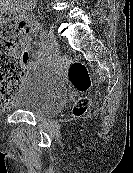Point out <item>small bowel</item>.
I'll use <instances>...</instances> for the list:
<instances>
[{"label":"small bowel","mask_w":133,"mask_h":173,"mask_svg":"<svg viewBox=\"0 0 133 173\" xmlns=\"http://www.w3.org/2000/svg\"><path fill=\"white\" fill-rule=\"evenodd\" d=\"M28 22L30 23V31H29V33H30L31 36H34L38 32L40 26L34 20H29ZM23 42H24V48L26 50V49H28L29 45L31 44L32 39H31L30 36H27V37L24 38ZM38 59H39V61H48V60H51V59L58 60V57H51L50 53H48L46 50H41L38 53ZM23 61H24V63L28 62V56L27 55L23 59Z\"/></svg>","instance_id":"small-bowel-1"}]
</instances>
